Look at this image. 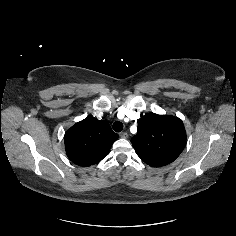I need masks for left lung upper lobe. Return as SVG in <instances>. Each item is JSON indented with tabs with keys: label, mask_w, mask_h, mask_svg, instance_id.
Returning <instances> with one entry per match:
<instances>
[{
	"label": "left lung upper lobe",
	"mask_w": 236,
	"mask_h": 236,
	"mask_svg": "<svg viewBox=\"0 0 236 236\" xmlns=\"http://www.w3.org/2000/svg\"><path fill=\"white\" fill-rule=\"evenodd\" d=\"M131 142L146 164L161 167L181 154L186 143V132L179 118L149 113L139 119L137 134Z\"/></svg>",
	"instance_id": "obj_1"
}]
</instances>
